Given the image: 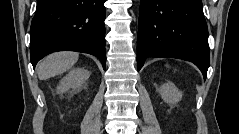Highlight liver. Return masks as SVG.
<instances>
[{
    "label": "liver",
    "mask_w": 239,
    "mask_h": 134,
    "mask_svg": "<svg viewBox=\"0 0 239 134\" xmlns=\"http://www.w3.org/2000/svg\"><path fill=\"white\" fill-rule=\"evenodd\" d=\"M76 52H57L44 58L37 67L40 80H46L69 70L78 60Z\"/></svg>",
    "instance_id": "obj_1"
}]
</instances>
